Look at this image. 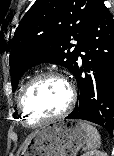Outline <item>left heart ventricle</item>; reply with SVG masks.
<instances>
[{
	"label": "left heart ventricle",
	"mask_w": 114,
	"mask_h": 156,
	"mask_svg": "<svg viewBox=\"0 0 114 156\" xmlns=\"http://www.w3.org/2000/svg\"><path fill=\"white\" fill-rule=\"evenodd\" d=\"M68 92L56 78H43L25 92L22 106L29 122L34 123L59 113L66 105Z\"/></svg>",
	"instance_id": "1"
}]
</instances>
